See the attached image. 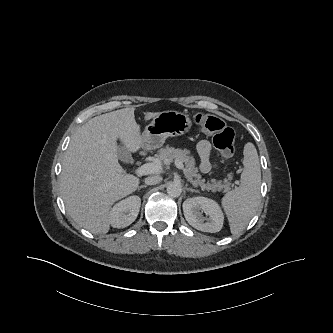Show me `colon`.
Instances as JSON below:
<instances>
[{"label":"colon","instance_id":"1","mask_svg":"<svg viewBox=\"0 0 333 333\" xmlns=\"http://www.w3.org/2000/svg\"><path fill=\"white\" fill-rule=\"evenodd\" d=\"M195 123L205 132L214 134L213 144L225 157H231L235 151V133L227 127L218 117L197 113L194 116Z\"/></svg>","mask_w":333,"mask_h":333}]
</instances>
